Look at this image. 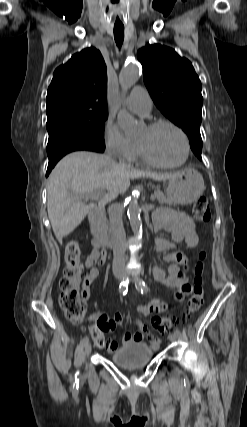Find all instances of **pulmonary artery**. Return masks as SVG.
I'll list each match as a JSON object with an SVG mask.
<instances>
[{"instance_id": "obj_1", "label": "pulmonary artery", "mask_w": 247, "mask_h": 427, "mask_svg": "<svg viewBox=\"0 0 247 427\" xmlns=\"http://www.w3.org/2000/svg\"><path fill=\"white\" fill-rule=\"evenodd\" d=\"M126 105L136 113L146 116L152 107V100L147 90L141 86L135 87L125 99Z\"/></svg>"}]
</instances>
